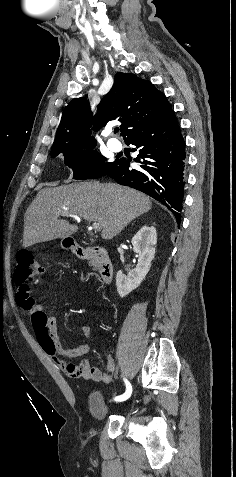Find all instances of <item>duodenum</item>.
Masks as SVG:
<instances>
[{
  "label": "duodenum",
  "instance_id": "410a0bca",
  "mask_svg": "<svg viewBox=\"0 0 236 477\" xmlns=\"http://www.w3.org/2000/svg\"><path fill=\"white\" fill-rule=\"evenodd\" d=\"M68 246L74 249L80 258L95 262L103 283L111 282L114 272L113 264L104 248L99 246L88 248L73 241H69Z\"/></svg>",
  "mask_w": 236,
  "mask_h": 477
}]
</instances>
